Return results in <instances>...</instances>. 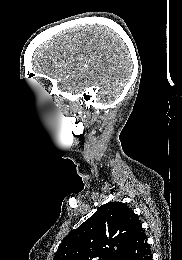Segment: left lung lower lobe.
Masks as SVG:
<instances>
[{
  "label": "left lung lower lobe",
  "mask_w": 182,
  "mask_h": 260,
  "mask_svg": "<svg viewBox=\"0 0 182 260\" xmlns=\"http://www.w3.org/2000/svg\"><path fill=\"white\" fill-rule=\"evenodd\" d=\"M120 260H152L150 246L142 226L130 239Z\"/></svg>",
  "instance_id": "1"
}]
</instances>
